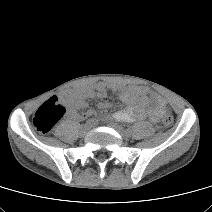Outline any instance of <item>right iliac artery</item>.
<instances>
[{"label": "right iliac artery", "mask_w": 212, "mask_h": 212, "mask_svg": "<svg viewBox=\"0 0 212 212\" xmlns=\"http://www.w3.org/2000/svg\"><path fill=\"white\" fill-rule=\"evenodd\" d=\"M97 121H96V119H89L88 121H87V124L88 125H93V124H95Z\"/></svg>", "instance_id": "1"}]
</instances>
